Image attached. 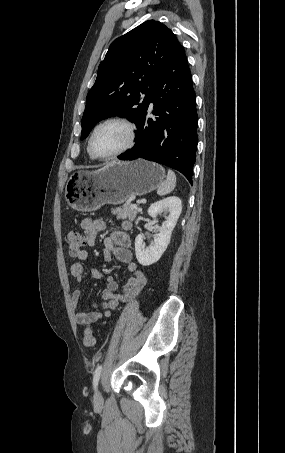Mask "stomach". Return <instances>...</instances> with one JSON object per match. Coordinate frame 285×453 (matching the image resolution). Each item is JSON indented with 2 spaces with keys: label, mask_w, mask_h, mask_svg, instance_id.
Returning a JSON list of instances; mask_svg holds the SVG:
<instances>
[{
  "label": "stomach",
  "mask_w": 285,
  "mask_h": 453,
  "mask_svg": "<svg viewBox=\"0 0 285 453\" xmlns=\"http://www.w3.org/2000/svg\"><path fill=\"white\" fill-rule=\"evenodd\" d=\"M164 178L165 169L154 162H113L97 171L74 172L66 184V200L77 211L91 212L152 192Z\"/></svg>",
  "instance_id": "1"
}]
</instances>
